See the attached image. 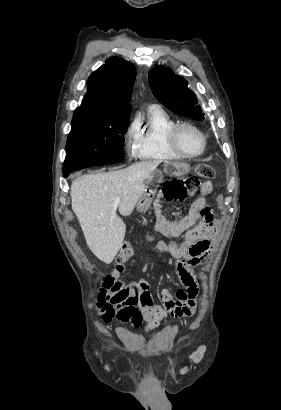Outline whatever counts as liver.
Returning <instances> with one entry per match:
<instances>
[{
	"mask_svg": "<svg viewBox=\"0 0 281 410\" xmlns=\"http://www.w3.org/2000/svg\"><path fill=\"white\" fill-rule=\"evenodd\" d=\"M159 160L142 161L111 172L83 175L71 184L72 210L94 255L111 263L122 246L126 225L117 215L132 213ZM116 198L121 202L114 205Z\"/></svg>",
	"mask_w": 281,
	"mask_h": 410,
	"instance_id": "obj_1",
	"label": "liver"
}]
</instances>
